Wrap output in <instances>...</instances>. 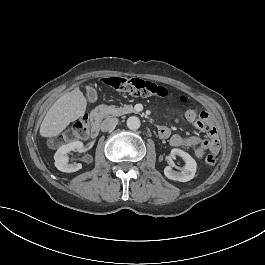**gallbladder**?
Segmentation results:
<instances>
[{
    "mask_svg": "<svg viewBox=\"0 0 265 265\" xmlns=\"http://www.w3.org/2000/svg\"><path fill=\"white\" fill-rule=\"evenodd\" d=\"M85 92L87 93V97L91 103L97 102V94L96 91L91 86L85 87Z\"/></svg>",
    "mask_w": 265,
    "mask_h": 265,
    "instance_id": "bac80fb5",
    "label": "gallbladder"
}]
</instances>
